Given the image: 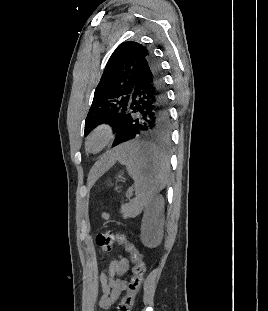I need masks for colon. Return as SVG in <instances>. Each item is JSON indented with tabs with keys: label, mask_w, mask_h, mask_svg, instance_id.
Instances as JSON below:
<instances>
[{
	"label": "colon",
	"mask_w": 268,
	"mask_h": 311,
	"mask_svg": "<svg viewBox=\"0 0 268 311\" xmlns=\"http://www.w3.org/2000/svg\"><path fill=\"white\" fill-rule=\"evenodd\" d=\"M96 243L102 254L110 252L116 243L123 245L126 251L130 254L131 260L134 264L133 275L127 285L126 294L118 305V311H131L136 295L140 291L145 272L142 254L124 234L112 230L98 234Z\"/></svg>",
	"instance_id": "obj_1"
}]
</instances>
